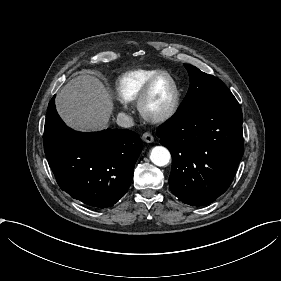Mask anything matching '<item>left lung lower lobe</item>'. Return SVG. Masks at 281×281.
I'll list each match as a JSON object with an SVG mask.
<instances>
[{
  "label": "left lung lower lobe",
  "mask_w": 281,
  "mask_h": 281,
  "mask_svg": "<svg viewBox=\"0 0 281 281\" xmlns=\"http://www.w3.org/2000/svg\"><path fill=\"white\" fill-rule=\"evenodd\" d=\"M172 155L171 191L191 206L215 201L242 158V111L236 99L178 111L157 131Z\"/></svg>",
  "instance_id": "obj_1"
}]
</instances>
